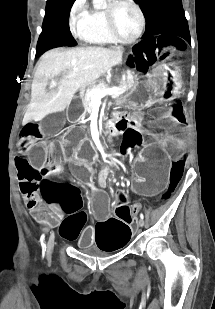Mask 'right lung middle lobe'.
<instances>
[{
    "mask_svg": "<svg viewBox=\"0 0 215 309\" xmlns=\"http://www.w3.org/2000/svg\"><path fill=\"white\" fill-rule=\"evenodd\" d=\"M75 0H47L45 21L39 37L36 56L59 46H75L69 29V13Z\"/></svg>",
    "mask_w": 215,
    "mask_h": 309,
    "instance_id": "1",
    "label": "right lung middle lobe"
}]
</instances>
